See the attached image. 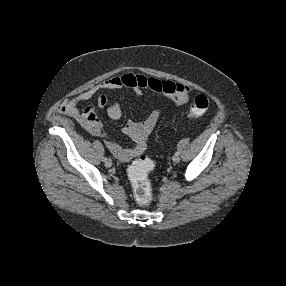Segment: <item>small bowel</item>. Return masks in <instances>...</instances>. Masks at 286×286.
Masks as SVG:
<instances>
[{
    "label": "small bowel",
    "mask_w": 286,
    "mask_h": 286,
    "mask_svg": "<svg viewBox=\"0 0 286 286\" xmlns=\"http://www.w3.org/2000/svg\"><path fill=\"white\" fill-rule=\"evenodd\" d=\"M125 88L133 90L137 96H141L145 90L164 94L177 107L188 103L191 92L188 86L172 80L146 77L143 74L128 72L112 76L91 87L76 98L66 101L62 105L61 112L63 114L75 119L81 126L86 128L92 136L102 137L108 150L117 159L123 162L129 161L145 151L148 138L154 130L162 114V110H153L148 117L141 122L127 121L123 127V132L133 141V146L123 147L109 136L92 107L89 106L81 110L79 105L90 100L100 90H121ZM98 103L101 106H105L107 104V98L105 96L99 97ZM107 115L112 120L120 119L122 116L120 103H111L107 107Z\"/></svg>",
    "instance_id": "c3829d8e"
}]
</instances>
